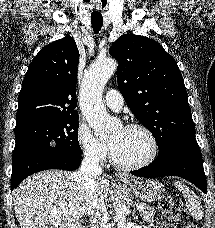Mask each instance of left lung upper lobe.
<instances>
[{
  "instance_id": "1",
  "label": "left lung upper lobe",
  "mask_w": 215,
  "mask_h": 228,
  "mask_svg": "<svg viewBox=\"0 0 215 228\" xmlns=\"http://www.w3.org/2000/svg\"><path fill=\"white\" fill-rule=\"evenodd\" d=\"M109 54L118 61V88L137 119L148 128L159 151L195 134L183 77L175 59L156 41L124 34Z\"/></svg>"
}]
</instances>
